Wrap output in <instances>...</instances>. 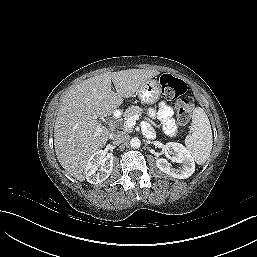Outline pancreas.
Returning a JSON list of instances; mask_svg holds the SVG:
<instances>
[{
    "mask_svg": "<svg viewBox=\"0 0 257 257\" xmlns=\"http://www.w3.org/2000/svg\"><path fill=\"white\" fill-rule=\"evenodd\" d=\"M143 113V109L139 106H131L129 107L128 109L125 110L124 112V117L125 119H129L130 117H132L133 115H138V116H141ZM126 122V121H125ZM154 126H156L155 123H152ZM125 132H132V129L131 128H125L124 129Z\"/></svg>",
    "mask_w": 257,
    "mask_h": 257,
    "instance_id": "cf45deb5",
    "label": "pancreas"
}]
</instances>
